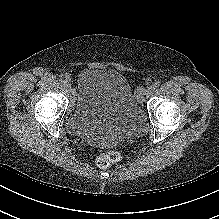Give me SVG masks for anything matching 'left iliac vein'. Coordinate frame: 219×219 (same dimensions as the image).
<instances>
[{
    "mask_svg": "<svg viewBox=\"0 0 219 219\" xmlns=\"http://www.w3.org/2000/svg\"><path fill=\"white\" fill-rule=\"evenodd\" d=\"M151 94V90L145 87H139L136 91V99L143 103L146 101L148 96Z\"/></svg>",
    "mask_w": 219,
    "mask_h": 219,
    "instance_id": "left-iliac-vein-1",
    "label": "left iliac vein"
}]
</instances>
